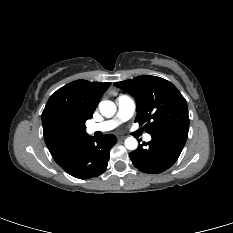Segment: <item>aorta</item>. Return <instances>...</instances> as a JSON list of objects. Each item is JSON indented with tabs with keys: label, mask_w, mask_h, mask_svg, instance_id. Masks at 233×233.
<instances>
[{
	"label": "aorta",
	"mask_w": 233,
	"mask_h": 233,
	"mask_svg": "<svg viewBox=\"0 0 233 233\" xmlns=\"http://www.w3.org/2000/svg\"><path fill=\"white\" fill-rule=\"evenodd\" d=\"M99 110L104 117L111 118L116 113L117 107L114 102L104 100L99 103ZM125 147L128 150H135L138 147V141L134 137H128L125 140Z\"/></svg>",
	"instance_id": "aorta-1"
}]
</instances>
